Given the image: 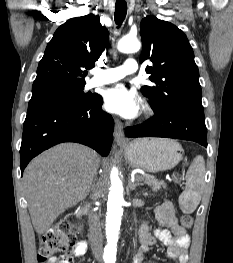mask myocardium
<instances>
[{
	"mask_svg": "<svg viewBox=\"0 0 233 263\" xmlns=\"http://www.w3.org/2000/svg\"><path fill=\"white\" fill-rule=\"evenodd\" d=\"M143 108L145 115L149 116L153 113V109L149 103H145Z\"/></svg>",
	"mask_w": 233,
	"mask_h": 263,
	"instance_id": "f54148a6",
	"label": "myocardium"
}]
</instances>
